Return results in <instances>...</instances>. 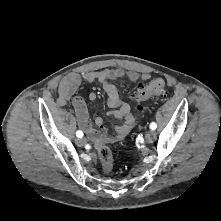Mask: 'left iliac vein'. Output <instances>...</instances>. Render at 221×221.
<instances>
[{
	"instance_id": "obj_1",
	"label": "left iliac vein",
	"mask_w": 221,
	"mask_h": 221,
	"mask_svg": "<svg viewBox=\"0 0 221 221\" xmlns=\"http://www.w3.org/2000/svg\"><path fill=\"white\" fill-rule=\"evenodd\" d=\"M156 139V132L153 130H150L145 135V141L147 143H152Z\"/></svg>"
}]
</instances>
